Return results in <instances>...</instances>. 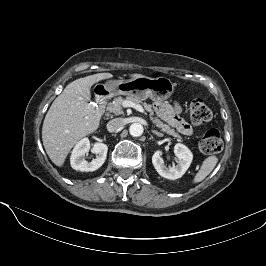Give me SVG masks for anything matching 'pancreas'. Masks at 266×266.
Returning <instances> with one entry per match:
<instances>
[{
    "label": "pancreas",
    "mask_w": 266,
    "mask_h": 266,
    "mask_svg": "<svg viewBox=\"0 0 266 266\" xmlns=\"http://www.w3.org/2000/svg\"><path fill=\"white\" fill-rule=\"evenodd\" d=\"M125 100L131 101L135 104L138 105H143V107L146 109V111L149 112L150 115V119L153 122V124L158 127L161 128L162 131L166 132L169 135H172L176 138H181V136L176 133L173 129H171L169 127V125L163 123L159 118L154 117V111L151 107V105L147 104V103H143L141 100L133 97V96H127L125 99L120 97L115 98L112 102H109L107 105V110L111 113H114L116 115H120L123 114V110H122V104Z\"/></svg>",
    "instance_id": "pancreas-1"
}]
</instances>
